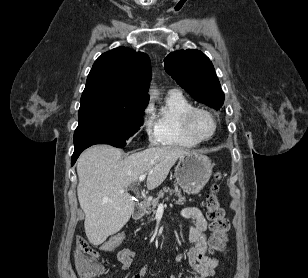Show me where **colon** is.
<instances>
[{
	"mask_svg": "<svg viewBox=\"0 0 308 278\" xmlns=\"http://www.w3.org/2000/svg\"><path fill=\"white\" fill-rule=\"evenodd\" d=\"M216 178H220L217 174ZM219 186L214 184L206 199L207 217L211 221L212 236L209 240L211 254L222 252L227 243L229 221L225 217L224 209L221 207L217 192ZM109 240H103L101 249L104 253H116L119 242H124V235H109ZM75 266L80 278H97L103 273L104 266L99 261L98 252L88 243L83 236L76 238L74 252Z\"/></svg>",
	"mask_w": 308,
	"mask_h": 278,
	"instance_id": "5ec220e1",
	"label": "colon"
}]
</instances>
